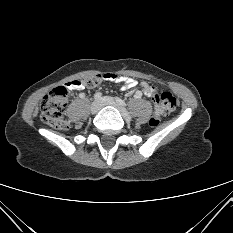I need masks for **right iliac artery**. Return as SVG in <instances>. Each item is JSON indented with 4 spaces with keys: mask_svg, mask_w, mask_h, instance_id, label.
I'll list each match as a JSON object with an SVG mask.
<instances>
[{
    "mask_svg": "<svg viewBox=\"0 0 233 233\" xmlns=\"http://www.w3.org/2000/svg\"><path fill=\"white\" fill-rule=\"evenodd\" d=\"M102 98V93L101 92H97L94 94V99L95 100H100Z\"/></svg>",
    "mask_w": 233,
    "mask_h": 233,
    "instance_id": "right-iliac-artery-1",
    "label": "right iliac artery"
}]
</instances>
